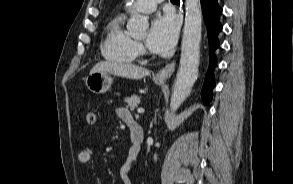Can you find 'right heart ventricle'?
<instances>
[{"mask_svg": "<svg viewBox=\"0 0 293 184\" xmlns=\"http://www.w3.org/2000/svg\"><path fill=\"white\" fill-rule=\"evenodd\" d=\"M124 16L113 17L106 26L101 52L105 59L118 63H133L139 55L137 42L123 27Z\"/></svg>", "mask_w": 293, "mask_h": 184, "instance_id": "right-heart-ventricle-1", "label": "right heart ventricle"}]
</instances>
